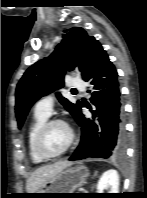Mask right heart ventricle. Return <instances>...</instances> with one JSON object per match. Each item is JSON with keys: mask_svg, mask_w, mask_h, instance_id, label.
<instances>
[{"mask_svg": "<svg viewBox=\"0 0 147 198\" xmlns=\"http://www.w3.org/2000/svg\"><path fill=\"white\" fill-rule=\"evenodd\" d=\"M48 117L49 116H44V115L35 113L32 121L28 127V130H27L28 153H29L31 161L35 164H41L46 161L45 158L41 157L37 153V151L35 149L34 141H35V136H36L39 128L48 120Z\"/></svg>", "mask_w": 147, "mask_h": 198, "instance_id": "e07e8e85", "label": "right heart ventricle"}]
</instances>
